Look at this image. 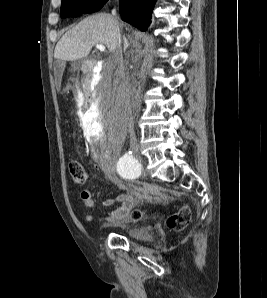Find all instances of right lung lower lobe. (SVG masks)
Segmentation results:
<instances>
[{
  "instance_id": "98d812e1",
  "label": "right lung lower lobe",
  "mask_w": 267,
  "mask_h": 298,
  "mask_svg": "<svg viewBox=\"0 0 267 298\" xmlns=\"http://www.w3.org/2000/svg\"><path fill=\"white\" fill-rule=\"evenodd\" d=\"M122 20L144 31L151 22L156 0H119Z\"/></svg>"
}]
</instances>
